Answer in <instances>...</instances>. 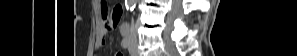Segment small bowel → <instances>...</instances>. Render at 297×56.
I'll return each mask as SVG.
<instances>
[{
	"instance_id": "small-bowel-1",
	"label": "small bowel",
	"mask_w": 297,
	"mask_h": 56,
	"mask_svg": "<svg viewBox=\"0 0 297 56\" xmlns=\"http://www.w3.org/2000/svg\"><path fill=\"white\" fill-rule=\"evenodd\" d=\"M98 6L101 14V23L99 26V35L96 41V49H100L104 46L109 30L117 26L122 15L121 6L115 7L112 13H109L108 6L104 1H99ZM116 55L123 56L122 53H117Z\"/></svg>"
}]
</instances>
